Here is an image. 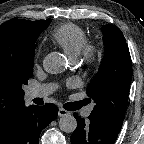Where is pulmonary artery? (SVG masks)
I'll return each instance as SVG.
<instances>
[{
  "mask_svg": "<svg viewBox=\"0 0 144 144\" xmlns=\"http://www.w3.org/2000/svg\"><path fill=\"white\" fill-rule=\"evenodd\" d=\"M55 90V86L52 84H46V85H41L35 88H31L28 90L27 94L30 99L33 98H42L46 97L49 94H51ZM93 110V105L88 106L84 111H83V116L85 118L89 117L91 112Z\"/></svg>",
  "mask_w": 144,
  "mask_h": 144,
  "instance_id": "e3ab8cb5",
  "label": "pulmonary artery"
}]
</instances>
